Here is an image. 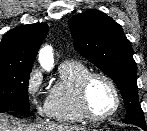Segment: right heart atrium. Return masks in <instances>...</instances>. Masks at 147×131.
Here are the masks:
<instances>
[{"instance_id":"right-heart-atrium-1","label":"right heart atrium","mask_w":147,"mask_h":131,"mask_svg":"<svg viewBox=\"0 0 147 131\" xmlns=\"http://www.w3.org/2000/svg\"><path fill=\"white\" fill-rule=\"evenodd\" d=\"M43 78L41 73L34 69L30 72L26 82V93L30 104L39 117H49L50 105L48 96L42 92Z\"/></svg>"}]
</instances>
